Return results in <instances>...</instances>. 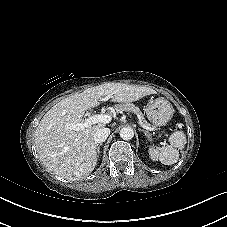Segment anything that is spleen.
<instances>
[{
  "label": "spleen",
  "mask_w": 227,
  "mask_h": 227,
  "mask_svg": "<svg viewBox=\"0 0 227 227\" xmlns=\"http://www.w3.org/2000/svg\"><path fill=\"white\" fill-rule=\"evenodd\" d=\"M170 145L150 146L149 155L153 161L159 160L164 165H172L179 159V149L184 148L187 139L183 131H175L169 137Z\"/></svg>",
  "instance_id": "spleen-1"
}]
</instances>
